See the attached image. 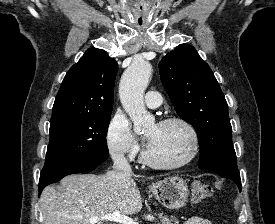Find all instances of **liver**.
<instances>
[{
    "instance_id": "liver-1",
    "label": "liver",
    "mask_w": 275,
    "mask_h": 224,
    "mask_svg": "<svg viewBox=\"0 0 275 224\" xmlns=\"http://www.w3.org/2000/svg\"><path fill=\"white\" fill-rule=\"evenodd\" d=\"M44 224H90L89 219L111 214L133 215L142 208L136 183L124 180L121 172L104 175L73 174L61 180V187L47 186L39 199Z\"/></svg>"
}]
</instances>
